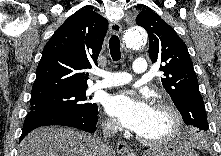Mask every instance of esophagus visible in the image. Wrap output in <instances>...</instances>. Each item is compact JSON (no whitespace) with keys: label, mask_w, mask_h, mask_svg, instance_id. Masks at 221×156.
<instances>
[{"label":"esophagus","mask_w":221,"mask_h":156,"mask_svg":"<svg viewBox=\"0 0 221 156\" xmlns=\"http://www.w3.org/2000/svg\"><path fill=\"white\" fill-rule=\"evenodd\" d=\"M110 30L113 34L118 35L122 31V27L118 22H111L110 23ZM116 149L121 154L127 153L130 150L128 144L124 141H118L116 143Z\"/></svg>","instance_id":"obj_1"}]
</instances>
